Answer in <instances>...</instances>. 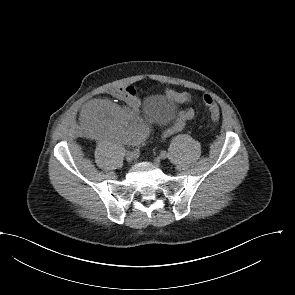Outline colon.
I'll return each mask as SVG.
<instances>
[{"label":"colon","mask_w":295,"mask_h":295,"mask_svg":"<svg viewBox=\"0 0 295 295\" xmlns=\"http://www.w3.org/2000/svg\"><path fill=\"white\" fill-rule=\"evenodd\" d=\"M203 103L208 108L211 115V119L213 121H218L220 117V109L215 100L210 95L206 94L203 96Z\"/></svg>","instance_id":"5ec220e1"}]
</instances>
